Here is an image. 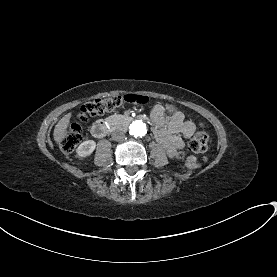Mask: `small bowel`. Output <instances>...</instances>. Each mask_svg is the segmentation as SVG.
I'll return each instance as SVG.
<instances>
[{
	"label": "small bowel",
	"instance_id": "small-bowel-1",
	"mask_svg": "<svg viewBox=\"0 0 277 277\" xmlns=\"http://www.w3.org/2000/svg\"><path fill=\"white\" fill-rule=\"evenodd\" d=\"M156 124L154 136L163 145L171 158H176L184 146V139L190 138L195 124L186 120L184 115L170 104H158L151 113Z\"/></svg>",
	"mask_w": 277,
	"mask_h": 277
}]
</instances>
